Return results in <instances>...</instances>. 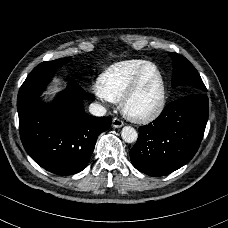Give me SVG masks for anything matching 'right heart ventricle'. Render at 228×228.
Segmentation results:
<instances>
[{"mask_svg": "<svg viewBox=\"0 0 228 228\" xmlns=\"http://www.w3.org/2000/svg\"><path fill=\"white\" fill-rule=\"evenodd\" d=\"M151 63L142 59H128L111 64L98 79V93L110 102L121 101L139 71Z\"/></svg>", "mask_w": 228, "mask_h": 228, "instance_id": "e07e8e85", "label": "right heart ventricle"}]
</instances>
